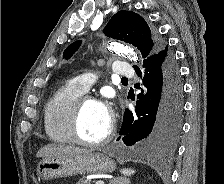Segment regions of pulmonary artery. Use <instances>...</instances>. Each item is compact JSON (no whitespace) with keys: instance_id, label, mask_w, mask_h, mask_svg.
Wrapping results in <instances>:
<instances>
[{"instance_id":"e3ab8cb5","label":"pulmonary artery","mask_w":224,"mask_h":184,"mask_svg":"<svg viewBox=\"0 0 224 184\" xmlns=\"http://www.w3.org/2000/svg\"><path fill=\"white\" fill-rule=\"evenodd\" d=\"M113 71L119 77H132L135 75L134 69L126 62H119L114 65ZM96 82V77L93 73L80 74L73 78L72 84L80 91L87 92Z\"/></svg>"}]
</instances>
